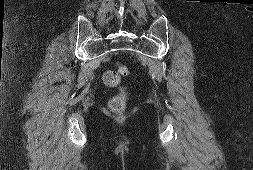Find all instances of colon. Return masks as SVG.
<instances>
[{
  "mask_svg": "<svg viewBox=\"0 0 253 170\" xmlns=\"http://www.w3.org/2000/svg\"><path fill=\"white\" fill-rule=\"evenodd\" d=\"M128 74V68L124 64H118L113 70H109L104 74L103 80L106 85L118 86L121 83L123 77ZM111 109L113 111H120L124 106L123 97H118L114 99L111 104Z\"/></svg>",
  "mask_w": 253,
  "mask_h": 170,
  "instance_id": "1",
  "label": "colon"
}]
</instances>
